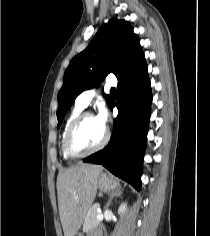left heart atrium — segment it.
<instances>
[{"instance_id": "obj_1", "label": "left heart atrium", "mask_w": 210, "mask_h": 236, "mask_svg": "<svg viewBox=\"0 0 210 236\" xmlns=\"http://www.w3.org/2000/svg\"><path fill=\"white\" fill-rule=\"evenodd\" d=\"M95 120L103 129H106L108 122V113L104 107L100 108L97 116L95 117Z\"/></svg>"}]
</instances>
